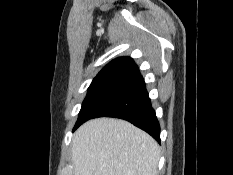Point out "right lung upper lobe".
<instances>
[{
  "instance_id": "1",
  "label": "right lung upper lobe",
  "mask_w": 233,
  "mask_h": 175,
  "mask_svg": "<svg viewBox=\"0 0 233 175\" xmlns=\"http://www.w3.org/2000/svg\"><path fill=\"white\" fill-rule=\"evenodd\" d=\"M103 77H124L137 80L142 76L130 57H120L107 64L96 76V78Z\"/></svg>"
}]
</instances>
